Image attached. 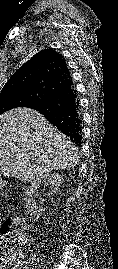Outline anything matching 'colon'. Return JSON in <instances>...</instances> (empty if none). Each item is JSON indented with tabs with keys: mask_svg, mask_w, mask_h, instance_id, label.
<instances>
[{
	"mask_svg": "<svg viewBox=\"0 0 118 269\" xmlns=\"http://www.w3.org/2000/svg\"><path fill=\"white\" fill-rule=\"evenodd\" d=\"M0 180V187H1ZM26 232V224L20 217H13L0 225V269H16V246Z\"/></svg>",
	"mask_w": 118,
	"mask_h": 269,
	"instance_id": "obj_1",
	"label": "colon"
}]
</instances>
